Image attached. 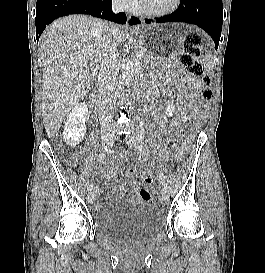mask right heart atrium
Segmentation results:
<instances>
[{
  "label": "right heart atrium",
  "instance_id": "d8ad5b80",
  "mask_svg": "<svg viewBox=\"0 0 265 273\" xmlns=\"http://www.w3.org/2000/svg\"><path fill=\"white\" fill-rule=\"evenodd\" d=\"M134 0H113V3L116 7L121 9L129 8Z\"/></svg>",
  "mask_w": 265,
  "mask_h": 273
}]
</instances>
